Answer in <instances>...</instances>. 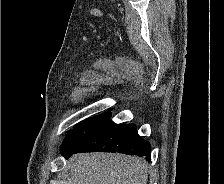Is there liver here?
<instances>
[{
  "label": "liver",
  "instance_id": "liver-1",
  "mask_svg": "<svg viewBox=\"0 0 224 184\" xmlns=\"http://www.w3.org/2000/svg\"><path fill=\"white\" fill-rule=\"evenodd\" d=\"M68 168L74 184H146L148 179L144 160L122 154H76Z\"/></svg>",
  "mask_w": 224,
  "mask_h": 184
}]
</instances>
